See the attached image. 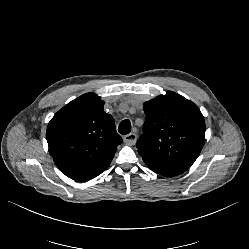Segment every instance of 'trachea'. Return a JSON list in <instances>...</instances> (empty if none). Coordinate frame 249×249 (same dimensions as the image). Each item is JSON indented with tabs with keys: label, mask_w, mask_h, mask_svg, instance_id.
I'll return each mask as SVG.
<instances>
[{
	"label": "trachea",
	"mask_w": 249,
	"mask_h": 249,
	"mask_svg": "<svg viewBox=\"0 0 249 249\" xmlns=\"http://www.w3.org/2000/svg\"><path fill=\"white\" fill-rule=\"evenodd\" d=\"M118 131L121 134H129L131 131V122L128 119L123 120L119 124Z\"/></svg>",
	"instance_id": "trachea-1"
}]
</instances>
